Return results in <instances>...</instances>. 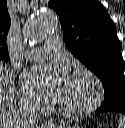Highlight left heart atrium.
I'll list each match as a JSON object with an SVG mask.
<instances>
[{"instance_id":"1","label":"left heart atrium","mask_w":125,"mask_h":128,"mask_svg":"<svg viewBox=\"0 0 125 128\" xmlns=\"http://www.w3.org/2000/svg\"><path fill=\"white\" fill-rule=\"evenodd\" d=\"M70 74L65 65L53 63L34 66L24 72L22 76L23 87L35 98L51 103H60Z\"/></svg>"}]
</instances>
